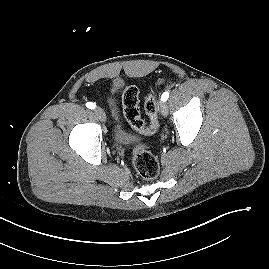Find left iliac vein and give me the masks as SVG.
Here are the masks:
<instances>
[{"label": "left iliac vein", "instance_id": "left-iliac-vein-1", "mask_svg": "<svg viewBox=\"0 0 269 269\" xmlns=\"http://www.w3.org/2000/svg\"><path fill=\"white\" fill-rule=\"evenodd\" d=\"M159 109H160L161 115L167 116V114H168V106H167L165 101L160 102Z\"/></svg>", "mask_w": 269, "mask_h": 269}]
</instances>
